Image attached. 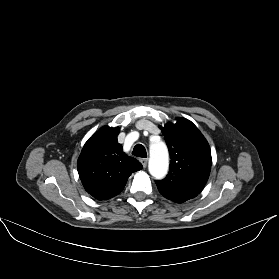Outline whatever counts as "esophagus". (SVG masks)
<instances>
[{
	"label": "esophagus",
	"instance_id": "obj_1",
	"mask_svg": "<svg viewBox=\"0 0 279 279\" xmlns=\"http://www.w3.org/2000/svg\"><path fill=\"white\" fill-rule=\"evenodd\" d=\"M140 162L142 163L143 167L145 168L147 166L148 159L147 158H141Z\"/></svg>",
	"mask_w": 279,
	"mask_h": 279
}]
</instances>
